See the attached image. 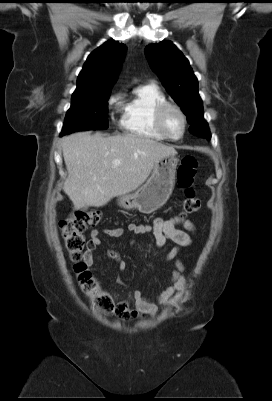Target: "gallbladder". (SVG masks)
I'll return each instance as SVG.
<instances>
[{"instance_id":"obj_1","label":"gallbladder","mask_w":272,"mask_h":401,"mask_svg":"<svg viewBox=\"0 0 272 401\" xmlns=\"http://www.w3.org/2000/svg\"><path fill=\"white\" fill-rule=\"evenodd\" d=\"M87 208H88L87 206H84V207H83V210H87Z\"/></svg>"}]
</instances>
